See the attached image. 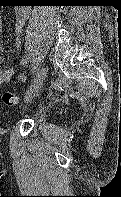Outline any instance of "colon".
Returning a JSON list of instances; mask_svg holds the SVG:
<instances>
[{
    "label": "colon",
    "mask_w": 121,
    "mask_h": 197,
    "mask_svg": "<svg viewBox=\"0 0 121 197\" xmlns=\"http://www.w3.org/2000/svg\"><path fill=\"white\" fill-rule=\"evenodd\" d=\"M2 101L7 106H14L18 102V98L12 92H4L2 95Z\"/></svg>",
    "instance_id": "obj_1"
}]
</instances>
